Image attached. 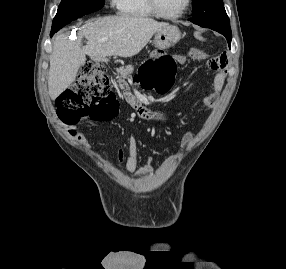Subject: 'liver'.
<instances>
[{"label":"liver","instance_id":"6515ba94","mask_svg":"<svg viewBox=\"0 0 286 269\" xmlns=\"http://www.w3.org/2000/svg\"><path fill=\"white\" fill-rule=\"evenodd\" d=\"M168 25L146 17L109 16L90 21L81 27L78 39L72 41L65 34L56 36L50 55L48 93L55 100L75 80L78 69L86 62L110 56L132 57L138 54L151 37ZM86 45L82 46V38ZM107 38L106 42H100Z\"/></svg>","mask_w":286,"mask_h":269}]
</instances>
